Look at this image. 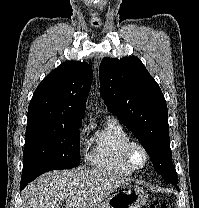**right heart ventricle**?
Listing matches in <instances>:
<instances>
[{"label": "right heart ventricle", "instance_id": "obj_1", "mask_svg": "<svg viewBox=\"0 0 199 208\" xmlns=\"http://www.w3.org/2000/svg\"><path fill=\"white\" fill-rule=\"evenodd\" d=\"M130 140L127 130L115 119L108 118L92 136V147L87 160L94 168L130 175L133 170L125 163L123 147Z\"/></svg>", "mask_w": 199, "mask_h": 208}]
</instances>
